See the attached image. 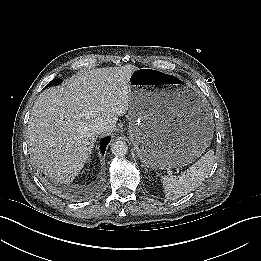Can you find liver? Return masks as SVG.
Here are the masks:
<instances>
[{"label": "liver", "mask_w": 261, "mask_h": 261, "mask_svg": "<svg viewBox=\"0 0 261 261\" xmlns=\"http://www.w3.org/2000/svg\"><path fill=\"white\" fill-rule=\"evenodd\" d=\"M137 69L130 64L92 69L44 90L28 122L34 164L56 182L70 183L92 154L98 138L93 122L103 119L111 133L118 117L127 113L129 82Z\"/></svg>", "instance_id": "obj_1"}]
</instances>
